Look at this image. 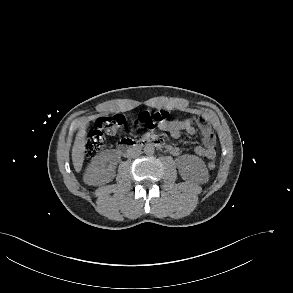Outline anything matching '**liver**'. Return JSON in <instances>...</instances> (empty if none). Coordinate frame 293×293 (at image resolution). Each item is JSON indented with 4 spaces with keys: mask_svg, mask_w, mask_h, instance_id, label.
Listing matches in <instances>:
<instances>
[{
    "mask_svg": "<svg viewBox=\"0 0 293 293\" xmlns=\"http://www.w3.org/2000/svg\"><path fill=\"white\" fill-rule=\"evenodd\" d=\"M86 145V127L79 129L72 147V162L76 172H80L84 162Z\"/></svg>",
    "mask_w": 293,
    "mask_h": 293,
    "instance_id": "1",
    "label": "liver"
}]
</instances>
